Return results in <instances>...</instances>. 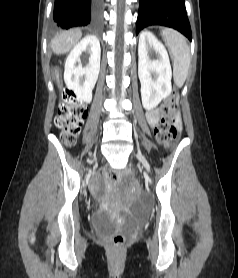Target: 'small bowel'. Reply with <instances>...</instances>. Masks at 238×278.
<instances>
[{"label": "small bowel", "instance_id": "obj_1", "mask_svg": "<svg viewBox=\"0 0 238 278\" xmlns=\"http://www.w3.org/2000/svg\"><path fill=\"white\" fill-rule=\"evenodd\" d=\"M147 119L150 125H156L159 120V112L156 109L149 111L147 114Z\"/></svg>", "mask_w": 238, "mask_h": 278}]
</instances>
